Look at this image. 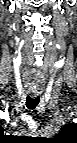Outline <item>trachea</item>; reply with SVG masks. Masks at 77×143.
Here are the masks:
<instances>
[{
	"instance_id": "1",
	"label": "trachea",
	"mask_w": 77,
	"mask_h": 143,
	"mask_svg": "<svg viewBox=\"0 0 77 143\" xmlns=\"http://www.w3.org/2000/svg\"><path fill=\"white\" fill-rule=\"evenodd\" d=\"M39 101H40L39 97L31 98L30 96H27L26 106H27L28 109L33 110V109L36 108Z\"/></svg>"
}]
</instances>
